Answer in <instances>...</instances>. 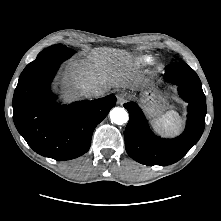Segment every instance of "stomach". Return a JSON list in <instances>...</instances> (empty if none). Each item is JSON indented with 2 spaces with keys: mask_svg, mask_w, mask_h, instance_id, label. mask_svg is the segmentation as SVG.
<instances>
[{
  "mask_svg": "<svg viewBox=\"0 0 221 221\" xmlns=\"http://www.w3.org/2000/svg\"><path fill=\"white\" fill-rule=\"evenodd\" d=\"M141 103L147 114L151 117H159L171 105L163 96L146 91L142 94Z\"/></svg>",
  "mask_w": 221,
  "mask_h": 221,
  "instance_id": "1",
  "label": "stomach"
}]
</instances>
